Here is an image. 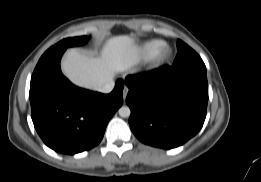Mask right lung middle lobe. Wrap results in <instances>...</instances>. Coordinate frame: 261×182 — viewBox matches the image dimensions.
I'll return each instance as SVG.
<instances>
[{
  "label": "right lung middle lobe",
  "mask_w": 261,
  "mask_h": 182,
  "mask_svg": "<svg viewBox=\"0 0 261 182\" xmlns=\"http://www.w3.org/2000/svg\"><path fill=\"white\" fill-rule=\"evenodd\" d=\"M87 41H88V37H86V36L63 39L62 41L58 42L54 46L50 47L45 53L51 52V51H57V50H61V49H67L68 47H72V46L83 45Z\"/></svg>",
  "instance_id": "obj_1"
}]
</instances>
